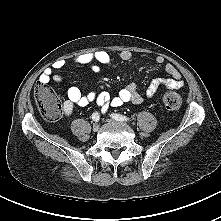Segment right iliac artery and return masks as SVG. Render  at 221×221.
I'll use <instances>...</instances> for the list:
<instances>
[{"label":"right iliac artery","instance_id":"82829eb1","mask_svg":"<svg viewBox=\"0 0 221 221\" xmlns=\"http://www.w3.org/2000/svg\"><path fill=\"white\" fill-rule=\"evenodd\" d=\"M92 119H93L94 121L98 122L99 119H100L99 113H98V112H94V113L92 114Z\"/></svg>","mask_w":221,"mask_h":221}]
</instances>
